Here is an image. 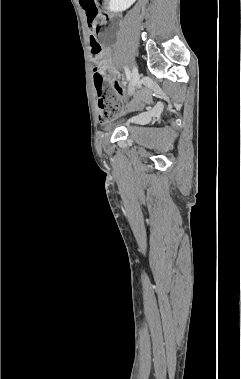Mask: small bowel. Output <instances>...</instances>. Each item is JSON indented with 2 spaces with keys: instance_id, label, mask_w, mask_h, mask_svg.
<instances>
[{
  "instance_id": "small-bowel-1",
  "label": "small bowel",
  "mask_w": 241,
  "mask_h": 379,
  "mask_svg": "<svg viewBox=\"0 0 241 379\" xmlns=\"http://www.w3.org/2000/svg\"><path fill=\"white\" fill-rule=\"evenodd\" d=\"M107 70L112 76V79L110 81L112 83V86L115 92L119 96H122L124 93L123 82L120 80L113 79L116 73L115 68L109 64L107 65ZM150 100H151L150 90L140 89L135 93L133 99L125 106V110L134 111V110L140 109L143 107L144 104L148 103ZM158 107L161 108L162 105L158 104Z\"/></svg>"
}]
</instances>
